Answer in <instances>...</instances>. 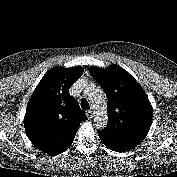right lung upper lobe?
<instances>
[{
    "instance_id": "right-lung-upper-lobe-1",
    "label": "right lung upper lobe",
    "mask_w": 177,
    "mask_h": 177,
    "mask_svg": "<svg viewBox=\"0 0 177 177\" xmlns=\"http://www.w3.org/2000/svg\"><path fill=\"white\" fill-rule=\"evenodd\" d=\"M82 74L79 66L54 67L41 79L28 102L24 118L26 134L35 146L45 143L52 153L71 146L80 122L87 120L78 101L68 92Z\"/></svg>"
}]
</instances>
